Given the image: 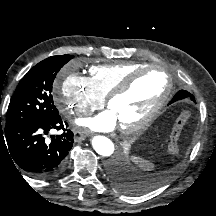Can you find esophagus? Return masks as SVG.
Returning a JSON list of instances; mask_svg holds the SVG:
<instances>
[{"instance_id":"esophagus-1","label":"esophagus","mask_w":216,"mask_h":216,"mask_svg":"<svg viewBox=\"0 0 216 216\" xmlns=\"http://www.w3.org/2000/svg\"><path fill=\"white\" fill-rule=\"evenodd\" d=\"M87 136V133L81 130H77L74 132V139L75 140H83Z\"/></svg>"}]
</instances>
